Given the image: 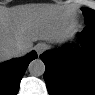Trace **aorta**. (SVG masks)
<instances>
[{
    "label": "aorta",
    "instance_id": "762f6f07",
    "mask_svg": "<svg viewBox=\"0 0 95 95\" xmlns=\"http://www.w3.org/2000/svg\"><path fill=\"white\" fill-rule=\"evenodd\" d=\"M29 73L33 76H41L45 72V64L41 59H35L28 66Z\"/></svg>",
    "mask_w": 95,
    "mask_h": 95
}]
</instances>
